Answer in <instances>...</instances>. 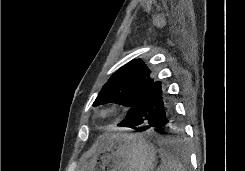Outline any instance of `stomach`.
Returning a JSON list of instances; mask_svg holds the SVG:
<instances>
[{
	"instance_id": "stomach-1",
	"label": "stomach",
	"mask_w": 245,
	"mask_h": 171,
	"mask_svg": "<svg viewBox=\"0 0 245 171\" xmlns=\"http://www.w3.org/2000/svg\"><path fill=\"white\" fill-rule=\"evenodd\" d=\"M156 150L143 134L117 132L92 153L81 171H153Z\"/></svg>"
}]
</instances>
